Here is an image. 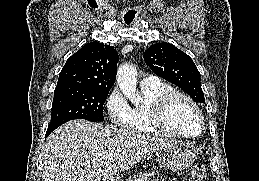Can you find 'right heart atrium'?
I'll return each instance as SVG.
<instances>
[{"mask_svg": "<svg viewBox=\"0 0 259 181\" xmlns=\"http://www.w3.org/2000/svg\"><path fill=\"white\" fill-rule=\"evenodd\" d=\"M105 109L111 123L116 127H126L130 107L118 89L112 90L105 100Z\"/></svg>", "mask_w": 259, "mask_h": 181, "instance_id": "d8ad5b80", "label": "right heart atrium"}]
</instances>
